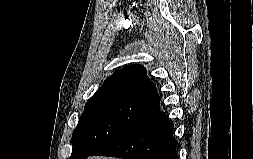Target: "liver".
<instances>
[{
  "instance_id": "1",
  "label": "liver",
  "mask_w": 253,
  "mask_h": 159,
  "mask_svg": "<svg viewBox=\"0 0 253 159\" xmlns=\"http://www.w3.org/2000/svg\"><path fill=\"white\" fill-rule=\"evenodd\" d=\"M87 159H117V158H111V157H101V156H91Z\"/></svg>"
}]
</instances>
